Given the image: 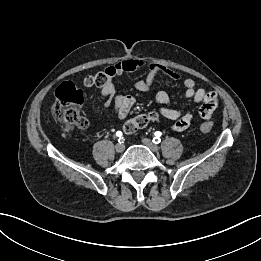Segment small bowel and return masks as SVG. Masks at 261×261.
Wrapping results in <instances>:
<instances>
[{
    "mask_svg": "<svg viewBox=\"0 0 261 261\" xmlns=\"http://www.w3.org/2000/svg\"><path fill=\"white\" fill-rule=\"evenodd\" d=\"M144 62L137 58H130L120 61L112 66L107 67L102 73L106 77L105 83L100 86L101 97L106 98V106L113 104L115 114L119 118H125L135 103V98L127 94H116L114 78L125 73H133L141 70ZM159 75H164L173 80H182L185 88L184 95L188 99H193L197 103H201L198 113L203 119H210L217 107V94L213 91H206L197 88L196 83L191 78L182 79L181 75L174 72L163 65L153 63L147 68L146 76L139 79L135 83V89L140 92H147L151 89L155 79ZM86 87L95 85L94 76H87L83 81ZM155 101L160 105V114L174 123L171 129L176 132H182L189 128L193 122L194 115L191 112L182 113L180 110L167 107L170 103V96L165 91H159L155 95Z\"/></svg>",
    "mask_w": 261,
    "mask_h": 261,
    "instance_id": "1",
    "label": "small bowel"
}]
</instances>
